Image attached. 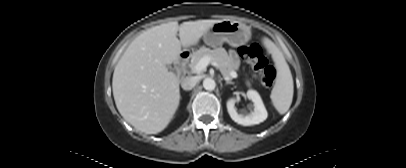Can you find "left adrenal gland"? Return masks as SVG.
I'll return each instance as SVG.
<instances>
[{"instance_id": "1", "label": "left adrenal gland", "mask_w": 406, "mask_h": 168, "mask_svg": "<svg viewBox=\"0 0 406 168\" xmlns=\"http://www.w3.org/2000/svg\"><path fill=\"white\" fill-rule=\"evenodd\" d=\"M225 84H226V85H228V84H234V82H232V81H226Z\"/></svg>"}]
</instances>
